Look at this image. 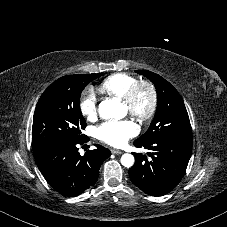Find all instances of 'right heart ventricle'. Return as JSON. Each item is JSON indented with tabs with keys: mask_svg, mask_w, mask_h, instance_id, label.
Returning a JSON list of instances; mask_svg holds the SVG:
<instances>
[{
	"mask_svg": "<svg viewBox=\"0 0 227 227\" xmlns=\"http://www.w3.org/2000/svg\"><path fill=\"white\" fill-rule=\"evenodd\" d=\"M138 81L127 73H115L105 78L98 86V92L102 95L122 99L128 89Z\"/></svg>",
	"mask_w": 227,
	"mask_h": 227,
	"instance_id": "obj_1",
	"label": "right heart ventricle"
}]
</instances>
